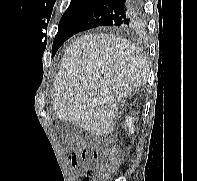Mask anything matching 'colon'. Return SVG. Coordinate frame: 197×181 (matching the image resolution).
I'll list each match as a JSON object with an SVG mask.
<instances>
[{
	"label": "colon",
	"instance_id": "5ec220e1",
	"mask_svg": "<svg viewBox=\"0 0 197 181\" xmlns=\"http://www.w3.org/2000/svg\"><path fill=\"white\" fill-rule=\"evenodd\" d=\"M83 156H86L84 152ZM90 176L83 181H104L116 170L118 162L113 149H103L91 157Z\"/></svg>",
	"mask_w": 197,
	"mask_h": 181
}]
</instances>
